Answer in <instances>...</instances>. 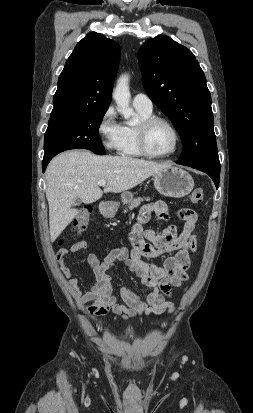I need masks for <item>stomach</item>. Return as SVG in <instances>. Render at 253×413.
Instances as JSON below:
<instances>
[{
	"mask_svg": "<svg viewBox=\"0 0 253 413\" xmlns=\"http://www.w3.org/2000/svg\"><path fill=\"white\" fill-rule=\"evenodd\" d=\"M154 186L164 196L183 198L193 190L194 180L185 170L171 166L154 174ZM121 199L124 204L131 203L133 201V194L129 191L123 192ZM117 209V204H108L103 208V213L113 217Z\"/></svg>",
	"mask_w": 253,
	"mask_h": 413,
	"instance_id": "obj_1",
	"label": "stomach"
}]
</instances>
